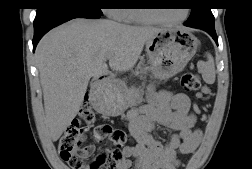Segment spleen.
<instances>
[{"instance_id": "3e777b00", "label": "spleen", "mask_w": 252, "mask_h": 169, "mask_svg": "<svg viewBox=\"0 0 252 169\" xmlns=\"http://www.w3.org/2000/svg\"><path fill=\"white\" fill-rule=\"evenodd\" d=\"M197 67L206 83L213 84L215 82V64L211 54L207 53V61H199Z\"/></svg>"}]
</instances>
